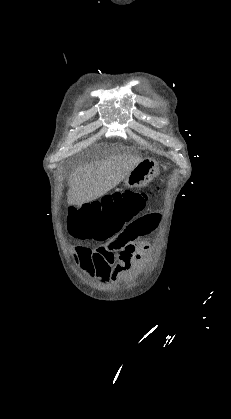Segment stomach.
<instances>
[{"label":"stomach","instance_id":"stomach-1","mask_svg":"<svg viewBox=\"0 0 231 419\" xmlns=\"http://www.w3.org/2000/svg\"><path fill=\"white\" fill-rule=\"evenodd\" d=\"M157 174V162L152 159H143L124 178V184L129 188H142L151 182Z\"/></svg>","mask_w":231,"mask_h":419}]
</instances>
